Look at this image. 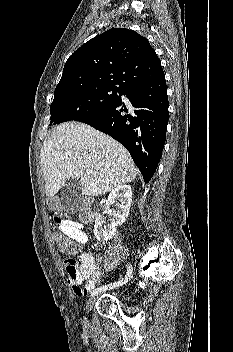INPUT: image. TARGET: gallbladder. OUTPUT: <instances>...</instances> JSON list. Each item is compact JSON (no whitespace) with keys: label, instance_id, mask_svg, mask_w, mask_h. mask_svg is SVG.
<instances>
[{"label":"gallbladder","instance_id":"obj_1","mask_svg":"<svg viewBox=\"0 0 233 352\" xmlns=\"http://www.w3.org/2000/svg\"><path fill=\"white\" fill-rule=\"evenodd\" d=\"M82 200L81 182L79 179H69L61 190V204L66 212L76 211Z\"/></svg>","mask_w":233,"mask_h":352}]
</instances>
